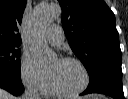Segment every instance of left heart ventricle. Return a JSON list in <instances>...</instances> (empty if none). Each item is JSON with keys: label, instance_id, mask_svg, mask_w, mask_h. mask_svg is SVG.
<instances>
[{"label": "left heart ventricle", "instance_id": "obj_1", "mask_svg": "<svg viewBox=\"0 0 128 99\" xmlns=\"http://www.w3.org/2000/svg\"><path fill=\"white\" fill-rule=\"evenodd\" d=\"M57 87L70 92L80 88L84 82V74L80 66L74 62L55 60L48 68Z\"/></svg>", "mask_w": 128, "mask_h": 99}]
</instances>
